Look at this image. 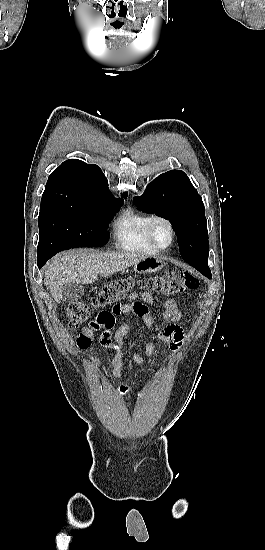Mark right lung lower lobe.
Wrapping results in <instances>:
<instances>
[{
  "mask_svg": "<svg viewBox=\"0 0 265 550\" xmlns=\"http://www.w3.org/2000/svg\"><path fill=\"white\" fill-rule=\"evenodd\" d=\"M49 257L47 256H37V265L39 269L47 262Z\"/></svg>",
  "mask_w": 265,
  "mask_h": 550,
  "instance_id": "98d812e1",
  "label": "right lung lower lobe"
}]
</instances>
